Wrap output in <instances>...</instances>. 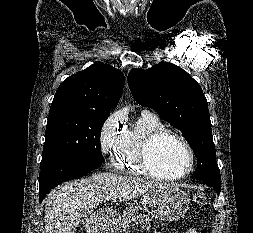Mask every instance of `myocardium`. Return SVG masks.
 I'll return each mask as SVG.
<instances>
[{
    "label": "myocardium",
    "mask_w": 253,
    "mask_h": 233,
    "mask_svg": "<svg viewBox=\"0 0 253 233\" xmlns=\"http://www.w3.org/2000/svg\"><path fill=\"white\" fill-rule=\"evenodd\" d=\"M167 137L178 141L188 151L189 166H188V169L183 174H180L177 176H164L155 172L153 168L151 167L150 155H151L152 149L154 148L155 144L159 140L163 138H167ZM139 162L144 172L154 179L161 180V181H169V182L179 181V180L185 179L192 173L195 166V152L191 144L183 136H181L180 134L170 129L163 128L151 133L150 135L146 137L140 149Z\"/></svg>",
    "instance_id": "f54148a6"
}]
</instances>
